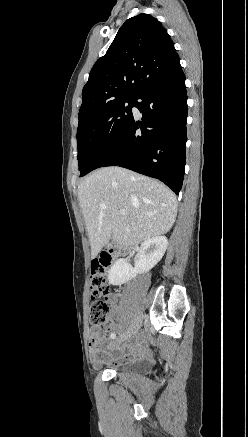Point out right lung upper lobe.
<instances>
[{
    "mask_svg": "<svg viewBox=\"0 0 248 437\" xmlns=\"http://www.w3.org/2000/svg\"><path fill=\"white\" fill-rule=\"evenodd\" d=\"M176 55L156 18L139 14L128 19L90 72L82 91L79 124L113 103L135 97Z\"/></svg>",
    "mask_w": 248,
    "mask_h": 437,
    "instance_id": "right-lung-upper-lobe-1",
    "label": "right lung upper lobe"
}]
</instances>
